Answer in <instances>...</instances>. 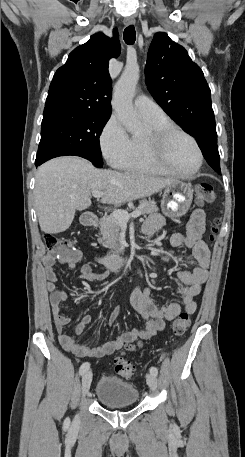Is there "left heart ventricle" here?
Segmentation results:
<instances>
[{"mask_svg": "<svg viewBox=\"0 0 245 457\" xmlns=\"http://www.w3.org/2000/svg\"><path fill=\"white\" fill-rule=\"evenodd\" d=\"M191 145L185 136L176 134L171 137L166 145L152 141L151 153L164 166L177 171L188 172L193 170L197 164V157Z\"/></svg>", "mask_w": 245, "mask_h": 457, "instance_id": "b2bd125f", "label": "left heart ventricle"}]
</instances>
